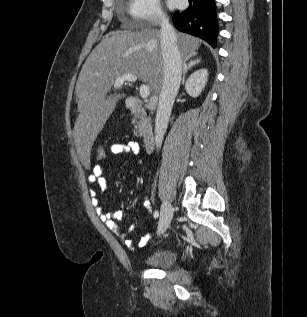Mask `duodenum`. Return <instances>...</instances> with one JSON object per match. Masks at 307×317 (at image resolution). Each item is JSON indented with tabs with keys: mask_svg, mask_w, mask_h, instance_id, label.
I'll return each instance as SVG.
<instances>
[{
	"mask_svg": "<svg viewBox=\"0 0 307 317\" xmlns=\"http://www.w3.org/2000/svg\"><path fill=\"white\" fill-rule=\"evenodd\" d=\"M128 108L131 113L143 117L146 113V109L142 102L136 98H130L128 100ZM141 135L143 145L146 151H151L154 146L155 135L152 126L144 122L141 127Z\"/></svg>",
	"mask_w": 307,
	"mask_h": 317,
	"instance_id": "1",
	"label": "duodenum"
}]
</instances>
